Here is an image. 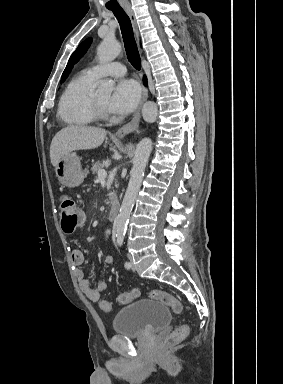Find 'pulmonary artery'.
Instances as JSON below:
<instances>
[{
  "label": "pulmonary artery",
  "mask_w": 283,
  "mask_h": 384,
  "mask_svg": "<svg viewBox=\"0 0 283 384\" xmlns=\"http://www.w3.org/2000/svg\"><path fill=\"white\" fill-rule=\"evenodd\" d=\"M125 72H126V68L117 62L98 63L86 70V73L95 81L108 75L122 76L125 74Z\"/></svg>",
  "instance_id": "pulmonary-artery-1"
}]
</instances>
